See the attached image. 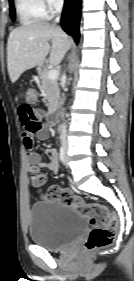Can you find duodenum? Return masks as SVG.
I'll return each mask as SVG.
<instances>
[{
  "label": "duodenum",
  "mask_w": 134,
  "mask_h": 281,
  "mask_svg": "<svg viewBox=\"0 0 134 281\" xmlns=\"http://www.w3.org/2000/svg\"><path fill=\"white\" fill-rule=\"evenodd\" d=\"M49 123L52 125H55L58 121V113H57V108L53 107L48 116Z\"/></svg>",
  "instance_id": "410a0bca"
}]
</instances>
